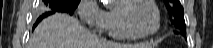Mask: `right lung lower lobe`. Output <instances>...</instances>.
I'll return each mask as SVG.
<instances>
[{
    "label": "right lung lower lobe",
    "mask_w": 213,
    "mask_h": 48,
    "mask_svg": "<svg viewBox=\"0 0 213 48\" xmlns=\"http://www.w3.org/2000/svg\"><path fill=\"white\" fill-rule=\"evenodd\" d=\"M55 12H56V11L50 10V11L46 12L45 14H43V15L37 20V22H36V24L34 25L33 28H35V26L39 23L40 20H42L43 18H45V17H47V16H49V15L55 13Z\"/></svg>",
    "instance_id": "98d812e1"
}]
</instances>
